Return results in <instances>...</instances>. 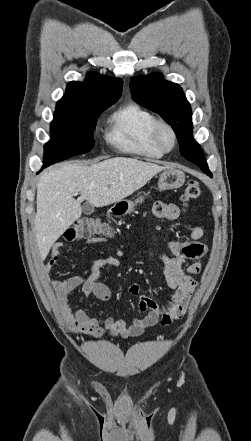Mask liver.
Returning <instances> with one entry per match:
<instances>
[{
  "label": "liver",
  "instance_id": "obj_1",
  "mask_svg": "<svg viewBox=\"0 0 251 441\" xmlns=\"http://www.w3.org/2000/svg\"><path fill=\"white\" fill-rule=\"evenodd\" d=\"M170 167L114 157L91 166L70 163L44 171L37 182L35 217L41 259L47 257L51 246L81 217L83 200L95 207L108 206L128 197ZM74 192L81 194L77 200L72 196Z\"/></svg>",
  "mask_w": 251,
  "mask_h": 441
}]
</instances>
